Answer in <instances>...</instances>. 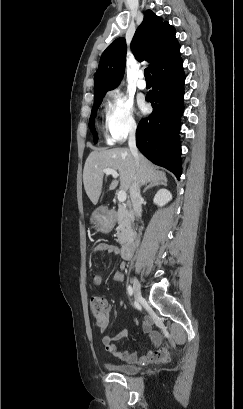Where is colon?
<instances>
[{"instance_id": "obj_1", "label": "colon", "mask_w": 243, "mask_h": 409, "mask_svg": "<svg viewBox=\"0 0 243 409\" xmlns=\"http://www.w3.org/2000/svg\"><path fill=\"white\" fill-rule=\"evenodd\" d=\"M90 307L94 312L100 311L104 307V302L101 297L95 296L91 299Z\"/></svg>"}]
</instances>
